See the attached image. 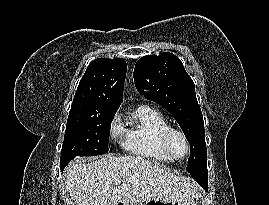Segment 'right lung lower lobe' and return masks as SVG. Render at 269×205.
<instances>
[{
    "mask_svg": "<svg viewBox=\"0 0 269 205\" xmlns=\"http://www.w3.org/2000/svg\"><path fill=\"white\" fill-rule=\"evenodd\" d=\"M69 163V162H68ZM68 163H61L60 165H61V170H63L65 167H66V165L68 164Z\"/></svg>",
    "mask_w": 269,
    "mask_h": 205,
    "instance_id": "1",
    "label": "right lung lower lobe"
}]
</instances>
